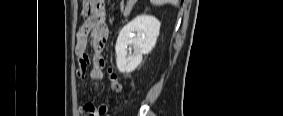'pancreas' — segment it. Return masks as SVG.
Masks as SVG:
<instances>
[{"label":"pancreas","instance_id":"cf45deb5","mask_svg":"<svg viewBox=\"0 0 283 116\" xmlns=\"http://www.w3.org/2000/svg\"><path fill=\"white\" fill-rule=\"evenodd\" d=\"M131 11L130 6H126L125 8H121V12L123 13L124 16H128Z\"/></svg>","mask_w":283,"mask_h":116}]
</instances>
